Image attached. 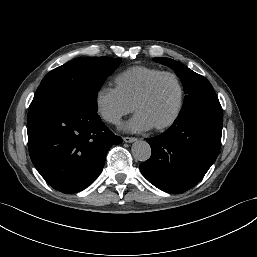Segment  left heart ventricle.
I'll list each match as a JSON object with an SVG mask.
<instances>
[{
  "mask_svg": "<svg viewBox=\"0 0 257 257\" xmlns=\"http://www.w3.org/2000/svg\"><path fill=\"white\" fill-rule=\"evenodd\" d=\"M178 87L171 77L161 78L151 94L136 107V112L143 114L156 126L168 120L178 102Z\"/></svg>",
  "mask_w": 257,
  "mask_h": 257,
  "instance_id": "left-heart-ventricle-1",
  "label": "left heart ventricle"
}]
</instances>
